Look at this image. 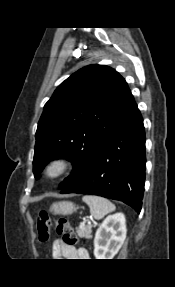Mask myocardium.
I'll return each mask as SVG.
<instances>
[{"instance_id":"obj_1","label":"myocardium","mask_w":175,"mask_h":287,"mask_svg":"<svg viewBox=\"0 0 175 287\" xmlns=\"http://www.w3.org/2000/svg\"><path fill=\"white\" fill-rule=\"evenodd\" d=\"M72 161L66 156L52 158L43 169V176L49 181H56L64 177L72 168Z\"/></svg>"}]
</instances>
